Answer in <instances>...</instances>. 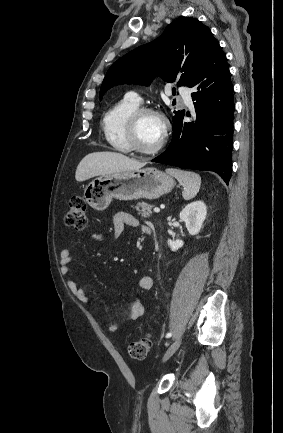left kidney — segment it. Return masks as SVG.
Masks as SVG:
<instances>
[{"label":"left kidney","instance_id":"left-kidney-1","mask_svg":"<svg viewBox=\"0 0 283 433\" xmlns=\"http://www.w3.org/2000/svg\"><path fill=\"white\" fill-rule=\"evenodd\" d=\"M207 208L203 201H195L188 204L181 212L180 219L185 222L186 228L190 235H196L200 232L203 222L206 218ZM184 245L182 240L168 239V246L172 251H177Z\"/></svg>","mask_w":283,"mask_h":433}]
</instances>
